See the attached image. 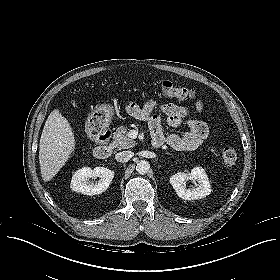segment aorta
<instances>
[{"label": "aorta", "instance_id": "762f6f07", "mask_svg": "<svg viewBox=\"0 0 280 280\" xmlns=\"http://www.w3.org/2000/svg\"><path fill=\"white\" fill-rule=\"evenodd\" d=\"M150 169V164L148 161L146 160H140L137 164H136V171L139 174H146Z\"/></svg>", "mask_w": 280, "mask_h": 280}]
</instances>
